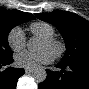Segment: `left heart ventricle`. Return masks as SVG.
Returning <instances> with one entry per match:
<instances>
[{
	"instance_id": "1",
	"label": "left heart ventricle",
	"mask_w": 89,
	"mask_h": 89,
	"mask_svg": "<svg viewBox=\"0 0 89 89\" xmlns=\"http://www.w3.org/2000/svg\"><path fill=\"white\" fill-rule=\"evenodd\" d=\"M48 49L50 50L52 53H54V49L53 47H51L47 42H45L44 40L41 41L40 45H39V50H45Z\"/></svg>"
}]
</instances>
